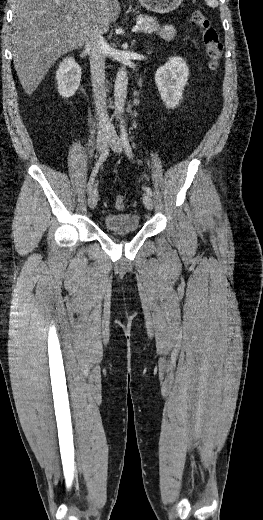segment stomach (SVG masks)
Instances as JSON below:
<instances>
[{
    "instance_id": "obj_1",
    "label": "stomach",
    "mask_w": 263,
    "mask_h": 520,
    "mask_svg": "<svg viewBox=\"0 0 263 520\" xmlns=\"http://www.w3.org/2000/svg\"><path fill=\"white\" fill-rule=\"evenodd\" d=\"M140 4L154 13H169L177 9L183 0H139Z\"/></svg>"
}]
</instances>
